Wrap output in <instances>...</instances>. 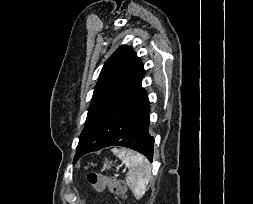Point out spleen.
Returning a JSON list of instances; mask_svg holds the SVG:
<instances>
[{"label": "spleen", "instance_id": "spleen-1", "mask_svg": "<svg viewBox=\"0 0 253 204\" xmlns=\"http://www.w3.org/2000/svg\"><path fill=\"white\" fill-rule=\"evenodd\" d=\"M112 152L129 169L126 183L137 199L143 197L151 179V165L146 157L129 149H112Z\"/></svg>", "mask_w": 253, "mask_h": 204}]
</instances>
